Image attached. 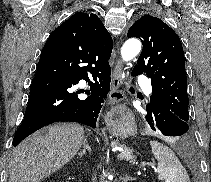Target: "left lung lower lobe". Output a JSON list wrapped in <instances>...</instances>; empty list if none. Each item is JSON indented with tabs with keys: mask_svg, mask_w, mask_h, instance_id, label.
Returning <instances> with one entry per match:
<instances>
[{
	"mask_svg": "<svg viewBox=\"0 0 211 182\" xmlns=\"http://www.w3.org/2000/svg\"><path fill=\"white\" fill-rule=\"evenodd\" d=\"M132 75L137 76L133 72ZM130 91L134 93L133 88ZM145 118L152 130L158 131L166 136H179L178 141L181 146H190L191 138L188 131V122L180 119L172 111L157 106L151 112L147 110Z\"/></svg>",
	"mask_w": 211,
	"mask_h": 182,
	"instance_id": "left-lung-lower-lobe-1",
	"label": "left lung lower lobe"
}]
</instances>
